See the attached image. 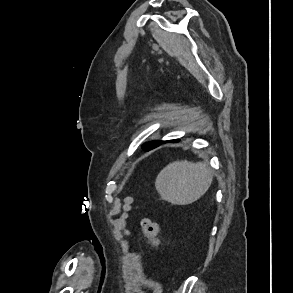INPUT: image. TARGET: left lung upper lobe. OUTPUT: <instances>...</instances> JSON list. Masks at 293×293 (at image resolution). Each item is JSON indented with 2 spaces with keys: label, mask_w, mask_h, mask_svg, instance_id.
I'll return each instance as SVG.
<instances>
[{
  "label": "left lung upper lobe",
  "mask_w": 293,
  "mask_h": 293,
  "mask_svg": "<svg viewBox=\"0 0 293 293\" xmlns=\"http://www.w3.org/2000/svg\"><path fill=\"white\" fill-rule=\"evenodd\" d=\"M156 143H157V141H154V142H150V143L144 144V145H143V148L146 149V150H149V149H151Z\"/></svg>",
  "instance_id": "5c2ea615"
}]
</instances>
